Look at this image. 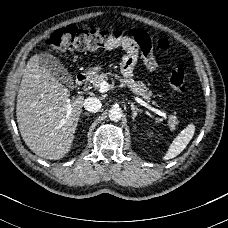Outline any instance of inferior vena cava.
Returning a JSON list of instances; mask_svg holds the SVG:
<instances>
[{
	"label": "inferior vena cava",
	"instance_id": "inferior-vena-cava-1",
	"mask_svg": "<svg viewBox=\"0 0 228 228\" xmlns=\"http://www.w3.org/2000/svg\"><path fill=\"white\" fill-rule=\"evenodd\" d=\"M101 101L96 97H88L84 101V108L92 113H96L101 109Z\"/></svg>",
	"mask_w": 228,
	"mask_h": 228
}]
</instances>
